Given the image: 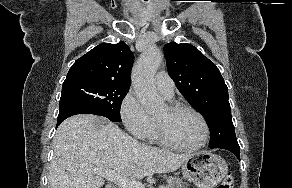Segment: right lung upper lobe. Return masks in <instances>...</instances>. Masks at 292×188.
Returning a JSON list of instances; mask_svg holds the SVG:
<instances>
[{"instance_id":"right-lung-upper-lobe-1","label":"right lung upper lobe","mask_w":292,"mask_h":188,"mask_svg":"<svg viewBox=\"0 0 292 188\" xmlns=\"http://www.w3.org/2000/svg\"><path fill=\"white\" fill-rule=\"evenodd\" d=\"M133 57L124 42L99 44L71 66L65 81L91 79L130 87Z\"/></svg>"}]
</instances>
